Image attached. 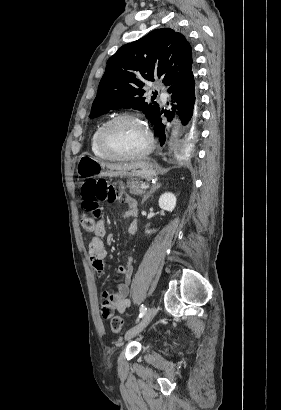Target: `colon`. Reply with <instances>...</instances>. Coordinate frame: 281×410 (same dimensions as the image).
Listing matches in <instances>:
<instances>
[{"mask_svg":"<svg viewBox=\"0 0 281 410\" xmlns=\"http://www.w3.org/2000/svg\"><path fill=\"white\" fill-rule=\"evenodd\" d=\"M120 192L106 180L91 179L83 183L81 188L82 208L84 213L81 225L88 231H93L96 220L101 215L100 202H114ZM110 328L114 333H120L124 329V321L120 316H114L110 322Z\"/></svg>","mask_w":281,"mask_h":410,"instance_id":"5ec220e1","label":"colon"}]
</instances>
